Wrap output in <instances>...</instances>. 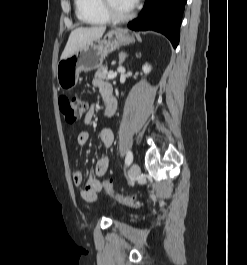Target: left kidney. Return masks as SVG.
Segmentation results:
<instances>
[{"label":"left kidney","instance_id":"obj_1","mask_svg":"<svg viewBox=\"0 0 247 265\" xmlns=\"http://www.w3.org/2000/svg\"><path fill=\"white\" fill-rule=\"evenodd\" d=\"M142 70L145 74L149 73L151 71V66L148 65V64H145L143 67H142Z\"/></svg>","mask_w":247,"mask_h":265}]
</instances>
